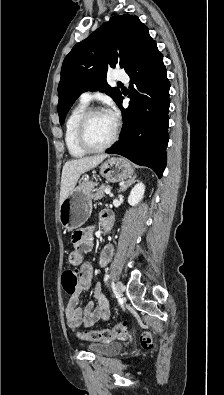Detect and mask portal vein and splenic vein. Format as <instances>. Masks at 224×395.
I'll use <instances>...</instances> for the list:
<instances>
[{
    "instance_id": "18ae733b",
    "label": "portal vein and splenic vein",
    "mask_w": 224,
    "mask_h": 395,
    "mask_svg": "<svg viewBox=\"0 0 224 395\" xmlns=\"http://www.w3.org/2000/svg\"><path fill=\"white\" fill-rule=\"evenodd\" d=\"M105 193L111 195V190L110 189H105Z\"/></svg>"
}]
</instances>
